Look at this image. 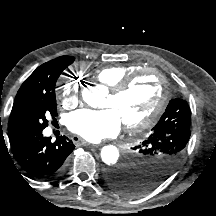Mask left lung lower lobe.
<instances>
[{
  "label": "left lung lower lobe",
  "instance_id": "left-lung-lower-lobe-1",
  "mask_svg": "<svg viewBox=\"0 0 216 216\" xmlns=\"http://www.w3.org/2000/svg\"><path fill=\"white\" fill-rule=\"evenodd\" d=\"M131 171L130 165H123L108 171L105 178L107 183L118 193L133 197L135 194L133 193L134 185Z\"/></svg>",
  "mask_w": 216,
  "mask_h": 216
}]
</instances>
